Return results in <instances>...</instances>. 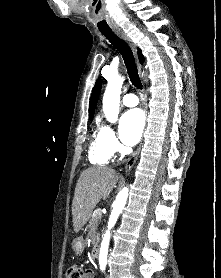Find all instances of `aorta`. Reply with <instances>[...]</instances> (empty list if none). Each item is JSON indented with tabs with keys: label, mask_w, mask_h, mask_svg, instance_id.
Instances as JSON below:
<instances>
[{
	"label": "aorta",
	"mask_w": 221,
	"mask_h": 278,
	"mask_svg": "<svg viewBox=\"0 0 221 278\" xmlns=\"http://www.w3.org/2000/svg\"><path fill=\"white\" fill-rule=\"evenodd\" d=\"M124 79L115 76L108 81L103 96V112L108 121L114 122L119 114L120 94ZM128 197V188L124 187L117 195L112 205V211L109 217L107 230L103 235L99 252V262H106L111 237V229L114 227L120 213L122 212Z\"/></svg>",
	"instance_id": "762f6f07"
}]
</instances>
